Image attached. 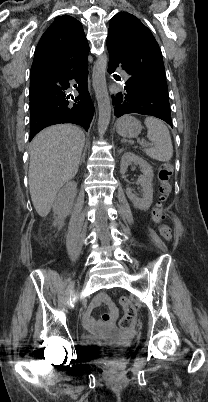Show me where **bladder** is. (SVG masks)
Wrapping results in <instances>:
<instances>
[{"label":"bladder","mask_w":208,"mask_h":402,"mask_svg":"<svg viewBox=\"0 0 208 402\" xmlns=\"http://www.w3.org/2000/svg\"><path fill=\"white\" fill-rule=\"evenodd\" d=\"M87 339L89 342H98V343H105L106 339H99L97 337L94 336H87Z\"/></svg>","instance_id":"1"}]
</instances>
